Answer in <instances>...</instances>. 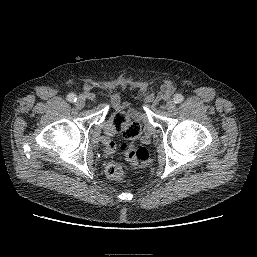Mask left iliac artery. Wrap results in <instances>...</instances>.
Masks as SVG:
<instances>
[{"label": "left iliac artery", "mask_w": 257, "mask_h": 257, "mask_svg": "<svg viewBox=\"0 0 257 257\" xmlns=\"http://www.w3.org/2000/svg\"><path fill=\"white\" fill-rule=\"evenodd\" d=\"M183 100H184V96L181 95V94H176V95L174 96V101H175V103H181Z\"/></svg>", "instance_id": "1"}]
</instances>
